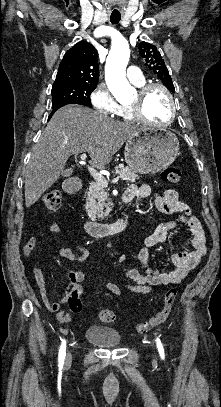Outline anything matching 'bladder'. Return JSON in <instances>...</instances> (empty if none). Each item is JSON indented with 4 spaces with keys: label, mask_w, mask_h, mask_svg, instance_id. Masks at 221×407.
Returning <instances> with one entry per match:
<instances>
[{
    "label": "bladder",
    "mask_w": 221,
    "mask_h": 407,
    "mask_svg": "<svg viewBox=\"0 0 221 407\" xmlns=\"http://www.w3.org/2000/svg\"><path fill=\"white\" fill-rule=\"evenodd\" d=\"M85 339L102 347H116L121 343L120 333L111 326L92 325L85 332Z\"/></svg>",
    "instance_id": "1"
}]
</instances>
